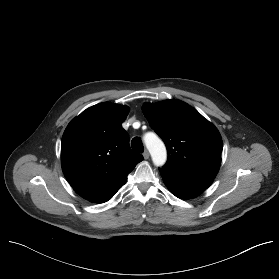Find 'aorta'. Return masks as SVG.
I'll list each match as a JSON object with an SVG mask.
<instances>
[{"label":"aorta","mask_w":279,"mask_h":279,"mask_svg":"<svg viewBox=\"0 0 279 279\" xmlns=\"http://www.w3.org/2000/svg\"><path fill=\"white\" fill-rule=\"evenodd\" d=\"M144 141L154 165L157 167L163 166L167 160L166 147L163 141L154 133L145 135Z\"/></svg>","instance_id":"1"}]
</instances>
